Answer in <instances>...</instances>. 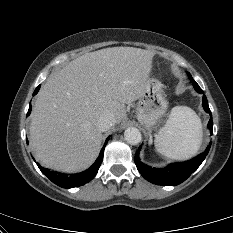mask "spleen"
Masks as SVG:
<instances>
[{
  "mask_svg": "<svg viewBox=\"0 0 233 233\" xmlns=\"http://www.w3.org/2000/svg\"><path fill=\"white\" fill-rule=\"evenodd\" d=\"M202 143V124L189 107L176 106L168 120L155 135L156 150L162 155L184 160L195 155Z\"/></svg>",
  "mask_w": 233,
  "mask_h": 233,
  "instance_id": "spleen-1",
  "label": "spleen"
}]
</instances>
